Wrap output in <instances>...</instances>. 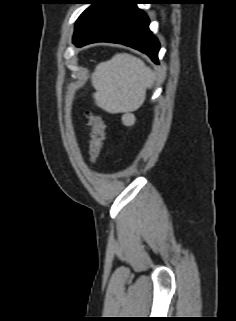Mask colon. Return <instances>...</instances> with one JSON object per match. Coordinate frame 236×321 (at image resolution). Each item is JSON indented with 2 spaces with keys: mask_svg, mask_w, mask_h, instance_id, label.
<instances>
[{
  "mask_svg": "<svg viewBox=\"0 0 236 321\" xmlns=\"http://www.w3.org/2000/svg\"><path fill=\"white\" fill-rule=\"evenodd\" d=\"M88 125L91 127V141H90V161L95 164L100 155L104 136H105V125L100 115L91 112L86 113Z\"/></svg>",
  "mask_w": 236,
  "mask_h": 321,
  "instance_id": "1",
  "label": "colon"
}]
</instances>
